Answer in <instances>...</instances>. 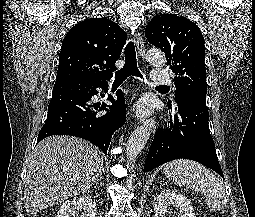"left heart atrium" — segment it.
Segmentation results:
<instances>
[{
	"label": "left heart atrium",
	"instance_id": "39dd6f15",
	"mask_svg": "<svg viewBox=\"0 0 255 217\" xmlns=\"http://www.w3.org/2000/svg\"><path fill=\"white\" fill-rule=\"evenodd\" d=\"M151 111V106L148 101H140L136 106V113L140 116L147 115Z\"/></svg>",
	"mask_w": 255,
	"mask_h": 217
}]
</instances>
